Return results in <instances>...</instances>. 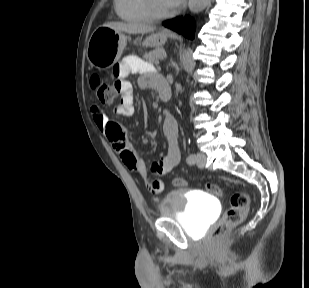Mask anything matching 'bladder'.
Wrapping results in <instances>:
<instances>
[{
	"label": "bladder",
	"mask_w": 309,
	"mask_h": 288,
	"mask_svg": "<svg viewBox=\"0 0 309 288\" xmlns=\"http://www.w3.org/2000/svg\"><path fill=\"white\" fill-rule=\"evenodd\" d=\"M213 197L193 191H170L160 200V217L175 218L185 230L201 233L217 214L218 202Z\"/></svg>",
	"instance_id": "bladder-1"
}]
</instances>
